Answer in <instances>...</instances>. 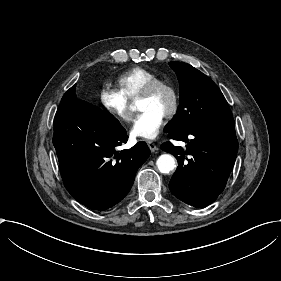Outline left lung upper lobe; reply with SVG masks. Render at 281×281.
<instances>
[{
    "mask_svg": "<svg viewBox=\"0 0 281 281\" xmlns=\"http://www.w3.org/2000/svg\"><path fill=\"white\" fill-rule=\"evenodd\" d=\"M180 83V104L164 132L183 131L194 126L233 119L228 103L217 85L187 63L170 62Z\"/></svg>",
    "mask_w": 281,
    "mask_h": 281,
    "instance_id": "1",
    "label": "left lung upper lobe"
}]
</instances>
